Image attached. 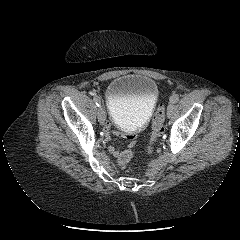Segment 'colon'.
Masks as SVG:
<instances>
[{
  "mask_svg": "<svg viewBox=\"0 0 240 240\" xmlns=\"http://www.w3.org/2000/svg\"><path fill=\"white\" fill-rule=\"evenodd\" d=\"M164 131V107L160 105L157 108L156 113L154 114L152 121V132L150 138V144L148 146V150L151 151L157 140L160 138ZM134 135V134H132ZM133 152L129 149L120 154L118 157V163L122 166L126 165L132 158Z\"/></svg>",
  "mask_w": 240,
  "mask_h": 240,
  "instance_id": "1",
  "label": "colon"
}]
</instances>
